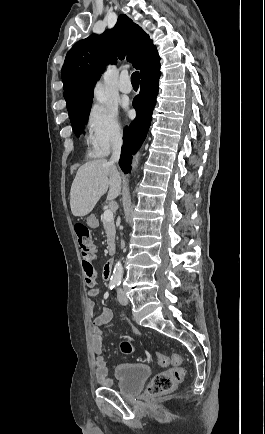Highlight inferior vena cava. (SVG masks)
I'll return each mask as SVG.
<instances>
[{"label":"inferior vena cava","instance_id":"obj_1","mask_svg":"<svg viewBox=\"0 0 265 434\" xmlns=\"http://www.w3.org/2000/svg\"><path fill=\"white\" fill-rule=\"evenodd\" d=\"M121 146H122V140H113V148H112L113 152L110 158L111 164H115V162H118L120 158Z\"/></svg>","mask_w":265,"mask_h":434}]
</instances>
